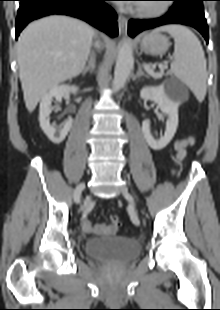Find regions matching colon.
<instances>
[{"instance_id": "5ec220e1", "label": "colon", "mask_w": 220, "mask_h": 310, "mask_svg": "<svg viewBox=\"0 0 220 310\" xmlns=\"http://www.w3.org/2000/svg\"><path fill=\"white\" fill-rule=\"evenodd\" d=\"M112 226L116 229L120 225V219L118 216H112L110 218Z\"/></svg>"}]
</instances>
